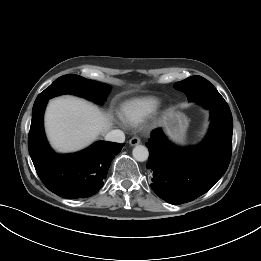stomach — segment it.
<instances>
[{"mask_svg":"<svg viewBox=\"0 0 261 261\" xmlns=\"http://www.w3.org/2000/svg\"><path fill=\"white\" fill-rule=\"evenodd\" d=\"M188 123V118L183 113L173 109L165 112L161 119V124L165 127L169 138L178 144L185 143Z\"/></svg>","mask_w":261,"mask_h":261,"instance_id":"obj_1","label":"stomach"}]
</instances>
